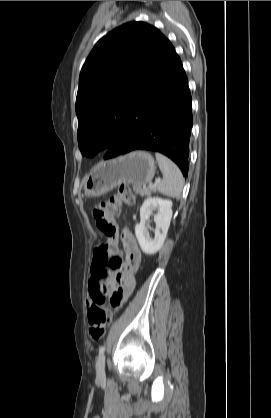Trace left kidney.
I'll use <instances>...</instances> for the list:
<instances>
[{"label": "left kidney", "mask_w": 271, "mask_h": 418, "mask_svg": "<svg viewBox=\"0 0 271 418\" xmlns=\"http://www.w3.org/2000/svg\"><path fill=\"white\" fill-rule=\"evenodd\" d=\"M157 210L154 215L156 225L154 238L146 234L147 220L151 213ZM172 218V201L158 197L147 198L140 208V223L135 227V235L143 253L154 255L164 244Z\"/></svg>", "instance_id": "1"}]
</instances>
